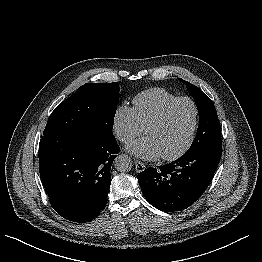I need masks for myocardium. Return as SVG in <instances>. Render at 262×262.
<instances>
[{
  "mask_svg": "<svg viewBox=\"0 0 262 262\" xmlns=\"http://www.w3.org/2000/svg\"><path fill=\"white\" fill-rule=\"evenodd\" d=\"M183 101H187L189 103H191V105L193 106L194 109V119H193V124H192V128L189 134V137L186 141V143L175 153L171 154V155H162V159L165 161H173L176 160L180 157H182L191 147L196 132H197V128H198V124H199V116H200V111H199V107L197 105V103L195 102L194 99L190 98V97H178L175 100L169 102L165 107L162 108V110L158 113V115L147 125L145 131H147L149 128L152 127H156L160 124H162L164 122V120L166 119L168 113L170 112V110L178 103L183 102Z\"/></svg>",
  "mask_w": 262,
  "mask_h": 262,
  "instance_id": "myocardium-1",
  "label": "myocardium"
}]
</instances>
